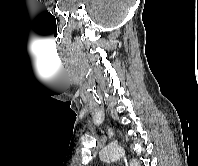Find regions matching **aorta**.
Masks as SVG:
<instances>
[{
    "label": "aorta",
    "mask_w": 198,
    "mask_h": 166,
    "mask_svg": "<svg viewBox=\"0 0 198 166\" xmlns=\"http://www.w3.org/2000/svg\"><path fill=\"white\" fill-rule=\"evenodd\" d=\"M124 154L125 151L121 146L109 145L101 151L100 158L103 161H116L122 158ZM130 166H140V164L136 160H132Z\"/></svg>",
    "instance_id": "obj_1"
}]
</instances>
